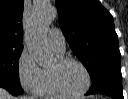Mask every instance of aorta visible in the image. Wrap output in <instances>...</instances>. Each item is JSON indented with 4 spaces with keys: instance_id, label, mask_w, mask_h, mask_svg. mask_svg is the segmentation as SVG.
I'll return each instance as SVG.
<instances>
[{
    "instance_id": "obj_1",
    "label": "aorta",
    "mask_w": 128,
    "mask_h": 99,
    "mask_svg": "<svg viewBox=\"0 0 128 99\" xmlns=\"http://www.w3.org/2000/svg\"><path fill=\"white\" fill-rule=\"evenodd\" d=\"M56 15L54 7L43 5L34 10L30 20L25 42L40 66H47L55 61V55L47 44L45 31Z\"/></svg>"
}]
</instances>
